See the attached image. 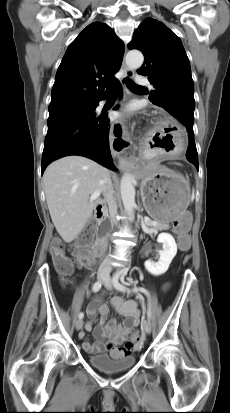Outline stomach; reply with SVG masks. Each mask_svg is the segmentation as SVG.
Here are the masks:
<instances>
[{"instance_id":"1","label":"stomach","mask_w":230,"mask_h":413,"mask_svg":"<svg viewBox=\"0 0 230 413\" xmlns=\"http://www.w3.org/2000/svg\"><path fill=\"white\" fill-rule=\"evenodd\" d=\"M141 177V198L151 218L159 223H168L186 211L190 186L184 176L157 166L143 169Z\"/></svg>"}]
</instances>
